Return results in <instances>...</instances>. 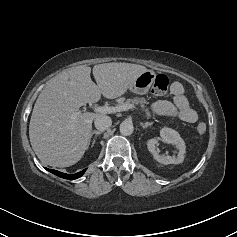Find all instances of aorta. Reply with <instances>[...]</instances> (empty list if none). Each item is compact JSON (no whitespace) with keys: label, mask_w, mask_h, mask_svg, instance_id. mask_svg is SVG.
I'll return each instance as SVG.
<instances>
[{"label":"aorta","mask_w":237,"mask_h":237,"mask_svg":"<svg viewBox=\"0 0 237 237\" xmlns=\"http://www.w3.org/2000/svg\"><path fill=\"white\" fill-rule=\"evenodd\" d=\"M120 133L124 136L131 135L134 131V127L131 121L125 120L120 124Z\"/></svg>","instance_id":"aorta-1"}]
</instances>
